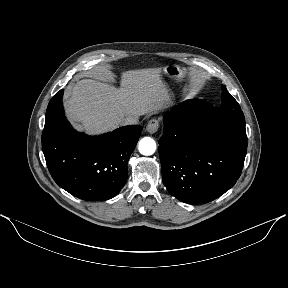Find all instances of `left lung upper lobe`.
<instances>
[{"label": "left lung upper lobe", "instance_id": "left-lung-upper-lobe-1", "mask_svg": "<svg viewBox=\"0 0 288 288\" xmlns=\"http://www.w3.org/2000/svg\"><path fill=\"white\" fill-rule=\"evenodd\" d=\"M217 112L220 115L230 117L239 122L245 123V117L239 106L238 102L227 91L225 86H222V105L216 107Z\"/></svg>", "mask_w": 288, "mask_h": 288}]
</instances>
